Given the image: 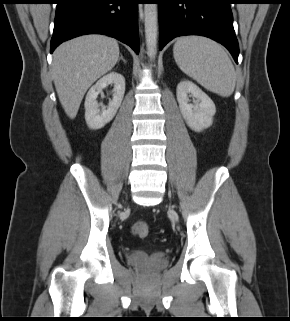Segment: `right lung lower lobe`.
I'll return each instance as SVG.
<instances>
[{"label": "right lung lower lobe", "instance_id": "obj_1", "mask_svg": "<svg viewBox=\"0 0 290 321\" xmlns=\"http://www.w3.org/2000/svg\"><path fill=\"white\" fill-rule=\"evenodd\" d=\"M140 0H57L50 52L62 42L85 34H104L139 53Z\"/></svg>", "mask_w": 290, "mask_h": 321}]
</instances>
